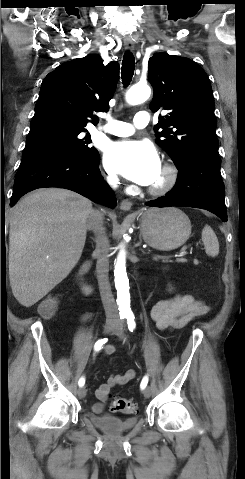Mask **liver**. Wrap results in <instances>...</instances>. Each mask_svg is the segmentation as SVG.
Wrapping results in <instances>:
<instances>
[{
    "instance_id": "obj_1",
    "label": "liver",
    "mask_w": 245,
    "mask_h": 479,
    "mask_svg": "<svg viewBox=\"0 0 245 479\" xmlns=\"http://www.w3.org/2000/svg\"><path fill=\"white\" fill-rule=\"evenodd\" d=\"M92 202L70 190L38 189L12 209L9 278L14 297L31 307L78 263Z\"/></svg>"
}]
</instances>
